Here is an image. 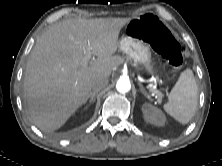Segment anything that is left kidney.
I'll list each match as a JSON object with an SVG mask.
<instances>
[{
  "label": "left kidney",
  "instance_id": "5707ae66",
  "mask_svg": "<svg viewBox=\"0 0 222 166\" xmlns=\"http://www.w3.org/2000/svg\"><path fill=\"white\" fill-rule=\"evenodd\" d=\"M142 111L144 118L147 122L157 125V126H163L166 122V117L163 114V112L158 109L157 107H154L151 104L145 103L142 106Z\"/></svg>",
  "mask_w": 222,
  "mask_h": 166
}]
</instances>
